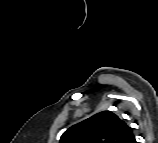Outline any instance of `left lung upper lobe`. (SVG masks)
Returning a JSON list of instances; mask_svg holds the SVG:
<instances>
[{"label": "left lung upper lobe", "mask_w": 158, "mask_h": 143, "mask_svg": "<svg viewBox=\"0 0 158 143\" xmlns=\"http://www.w3.org/2000/svg\"><path fill=\"white\" fill-rule=\"evenodd\" d=\"M59 143H135L132 129L111 111H102L68 128Z\"/></svg>", "instance_id": "1"}]
</instances>
